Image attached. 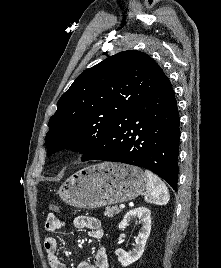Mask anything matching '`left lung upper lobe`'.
Instances as JSON below:
<instances>
[{
    "instance_id": "5c2ea615",
    "label": "left lung upper lobe",
    "mask_w": 221,
    "mask_h": 268,
    "mask_svg": "<svg viewBox=\"0 0 221 268\" xmlns=\"http://www.w3.org/2000/svg\"><path fill=\"white\" fill-rule=\"evenodd\" d=\"M169 84L160 66L135 50L85 70L61 96L49 120L48 155L72 148L87 161L122 115Z\"/></svg>"
}]
</instances>
